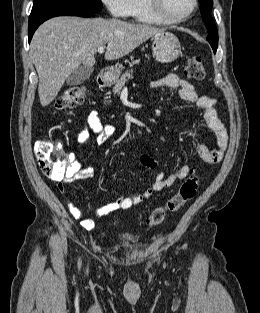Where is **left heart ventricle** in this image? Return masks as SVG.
<instances>
[{
	"mask_svg": "<svg viewBox=\"0 0 260 313\" xmlns=\"http://www.w3.org/2000/svg\"><path fill=\"white\" fill-rule=\"evenodd\" d=\"M192 8V0H161L162 12L168 17H179Z\"/></svg>",
	"mask_w": 260,
	"mask_h": 313,
	"instance_id": "1",
	"label": "left heart ventricle"
}]
</instances>
